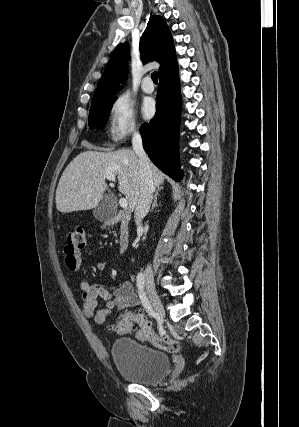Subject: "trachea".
<instances>
[{"mask_svg":"<svg viewBox=\"0 0 299 427\" xmlns=\"http://www.w3.org/2000/svg\"><path fill=\"white\" fill-rule=\"evenodd\" d=\"M151 78H152L154 83H158V73L157 72H153L151 74Z\"/></svg>","mask_w":299,"mask_h":427,"instance_id":"obj_1","label":"trachea"}]
</instances>
